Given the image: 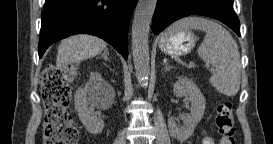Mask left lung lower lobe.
Masks as SVG:
<instances>
[{
	"instance_id": "1",
	"label": "left lung lower lobe",
	"mask_w": 273,
	"mask_h": 144,
	"mask_svg": "<svg viewBox=\"0 0 273 144\" xmlns=\"http://www.w3.org/2000/svg\"><path fill=\"white\" fill-rule=\"evenodd\" d=\"M195 14L217 19L240 36V23L233 10V0H157L152 31L157 35L172 22Z\"/></svg>"
}]
</instances>
